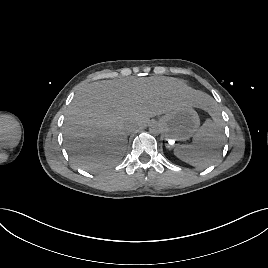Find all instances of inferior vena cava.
Segmentation results:
<instances>
[{
  "instance_id": "1",
  "label": "inferior vena cava",
  "mask_w": 268,
  "mask_h": 268,
  "mask_svg": "<svg viewBox=\"0 0 268 268\" xmlns=\"http://www.w3.org/2000/svg\"><path fill=\"white\" fill-rule=\"evenodd\" d=\"M136 129H137V127H130V128L128 129V132H134V131H136Z\"/></svg>"
}]
</instances>
